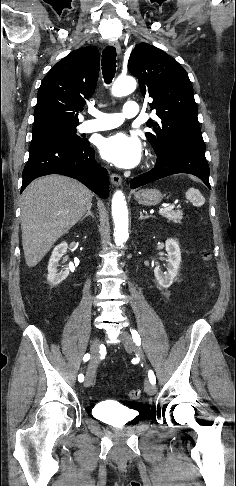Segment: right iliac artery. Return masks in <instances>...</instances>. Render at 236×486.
<instances>
[{"label": "right iliac artery", "instance_id": "82829eb1", "mask_svg": "<svg viewBox=\"0 0 236 486\" xmlns=\"http://www.w3.org/2000/svg\"><path fill=\"white\" fill-rule=\"evenodd\" d=\"M89 359H90V354L89 353L85 354L84 357H83L84 362H87ZM78 380H79V382H83L84 381V375L80 374L78 376Z\"/></svg>", "mask_w": 236, "mask_h": 486}]
</instances>
